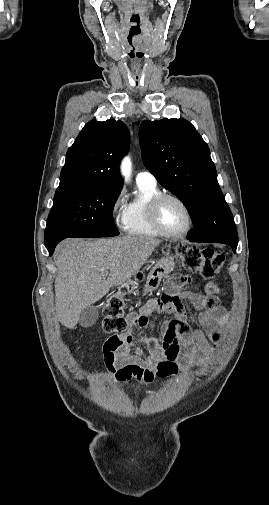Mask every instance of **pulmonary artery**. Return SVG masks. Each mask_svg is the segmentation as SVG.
<instances>
[{"instance_id": "e3ab8cb5", "label": "pulmonary artery", "mask_w": 269, "mask_h": 505, "mask_svg": "<svg viewBox=\"0 0 269 505\" xmlns=\"http://www.w3.org/2000/svg\"><path fill=\"white\" fill-rule=\"evenodd\" d=\"M136 181L137 183H143V184H149V185H156L157 181L155 176L150 173L149 171H141L137 174L136 176Z\"/></svg>"}]
</instances>
